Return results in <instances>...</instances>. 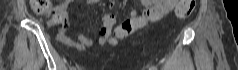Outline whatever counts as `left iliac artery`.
Returning <instances> with one entry per match:
<instances>
[{"mask_svg": "<svg viewBox=\"0 0 238 70\" xmlns=\"http://www.w3.org/2000/svg\"><path fill=\"white\" fill-rule=\"evenodd\" d=\"M150 69H151V70H156V68H155V67H151Z\"/></svg>", "mask_w": 238, "mask_h": 70, "instance_id": "1", "label": "left iliac artery"}]
</instances>
